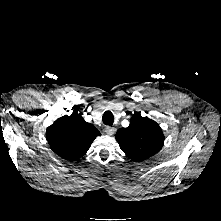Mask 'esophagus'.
Instances as JSON below:
<instances>
[{
  "instance_id": "esophagus-1",
  "label": "esophagus",
  "mask_w": 221,
  "mask_h": 221,
  "mask_svg": "<svg viewBox=\"0 0 221 221\" xmlns=\"http://www.w3.org/2000/svg\"><path fill=\"white\" fill-rule=\"evenodd\" d=\"M105 132H106V134H108V135H114L115 132H116V128H115V127H111V126H107V127L105 128Z\"/></svg>"
}]
</instances>
